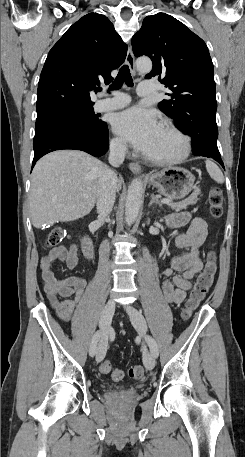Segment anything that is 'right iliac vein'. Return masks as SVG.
Segmentation results:
<instances>
[{"mask_svg": "<svg viewBox=\"0 0 245 457\" xmlns=\"http://www.w3.org/2000/svg\"><path fill=\"white\" fill-rule=\"evenodd\" d=\"M114 311H115V302L110 300L105 304L101 317H100L99 325L102 330V335H101V338H100V341L98 344V348H97V355H96L97 362L102 361L105 357V354L107 351V344H108V327L112 320Z\"/></svg>", "mask_w": 245, "mask_h": 457, "instance_id": "right-iliac-vein-1", "label": "right iliac vein"}]
</instances>
